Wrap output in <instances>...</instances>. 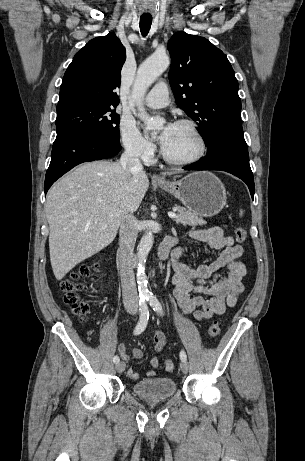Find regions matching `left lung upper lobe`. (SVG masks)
Masks as SVG:
<instances>
[{"label":"left lung upper lobe","instance_id":"1","mask_svg":"<svg viewBox=\"0 0 305 461\" xmlns=\"http://www.w3.org/2000/svg\"><path fill=\"white\" fill-rule=\"evenodd\" d=\"M168 50L169 80L176 104L197 123L209 147L218 129L241 123L235 72L226 55L200 36L175 33Z\"/></svg>","mask_w":305,"mask_h":461}]
</instances>
